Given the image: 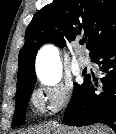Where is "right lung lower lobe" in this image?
<instances>
[{"label":"right lung lower lobe","mask_w":116,"mask_h":134,"mask_svg":"<svg viewBox=\"0 0 116 134\" xmlns=\"http://www.w3.org/2000/svg\"><path fill=\"white\" fill-rule=\"evenodd\" d=\"M104 75L101 83L85 79L69 102L64 121L70 126L103 123L116 132V38L90 54Z\"/></svg>","instance_id":"98d812e1"}]
</instances>
